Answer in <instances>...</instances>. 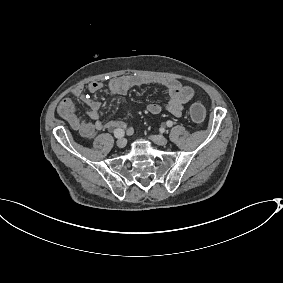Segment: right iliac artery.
Here are the masks:
<instances>
[{
  "label": "right iliac artery",
  "instance_id": "obj_1",
  "mask_svg": "<svg viewBox=\"0 0 283 283\" xmlns=\"http://www.w3.org/2000/svg\"><path fill=\"white\" fill-rule=\"evenodd\" d=\"M124 131L122 130V129H116L115 131H114V136L116 137V138H122L123 136H124Z\"/></svg>",
  "mask_w": 283,
  "mask_h": 283
}]
</instances>
